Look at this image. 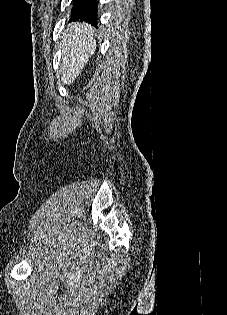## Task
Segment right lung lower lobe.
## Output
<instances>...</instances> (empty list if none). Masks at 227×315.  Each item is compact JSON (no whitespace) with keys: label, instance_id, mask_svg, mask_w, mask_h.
<instances>
[{"label":"right lung lower lobe","instance_id":"obj_1","mask_svg":"<svg viewBox=\"0 0 227 315\" xmlns=\"http://www.w3.org/2000/svg\"><path fill=\"white\" fill-rule=\"evenodd\" d=\"M97 0H73L70 21H97Z\"/></svg>","mask_w":227,"mask_h":315}]
</instances>
